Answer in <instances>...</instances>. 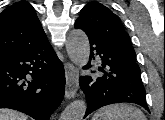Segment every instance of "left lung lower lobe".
Listing matches in <instances>:
<instances>
[{"label":"left lung lower lobe","mask_w":165,"mask_h":120,"mask_svg":"<svg viewBox=\"0 0 165 120\" xmlns=\"http://www.w3.org/2000/svg\"><path fill=\"white\" fill-rule=\"evenodd\" d=\"M75 28L82 29L77 23ZM86 34L90 43V55L94 56L96 51L101 59V66L97 71H92L96 72V75L80 77V87L85 92L87 100L84 117L100 107L121 102L136 103L149 111L140 69L112 47ZM90 66L89 63L88 67Z\"/></svg>","instance_id":"1"}]
</instances>
